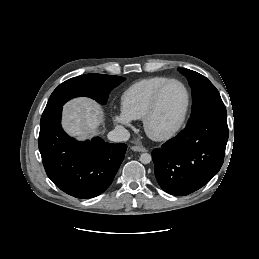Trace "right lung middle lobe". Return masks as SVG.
<instances>
[{
    "label": "right lung middle lobe",
    "instance_id": "dd1d6c3e",
    "mask_svg": "<svg viewBox=\"0 0 259 259\" xmlns=\"http://www.w3.org/2000/svg\"><path fill=\"white\" fill-rule=\"evenodd\" d=\"M124 80V77L104 74H85L68 79L53 91L44 112L63 106L78 96H87L105 104L111 90Z\"/></svg>",
    "mask_w": 259,
    "mask_h": 259
}]
</instances>
